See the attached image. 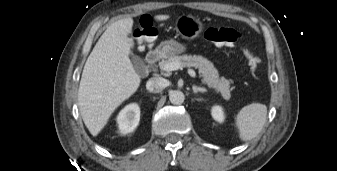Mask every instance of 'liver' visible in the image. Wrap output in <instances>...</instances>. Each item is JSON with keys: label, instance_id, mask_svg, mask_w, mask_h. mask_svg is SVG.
Instances as JSON below:
<instances>
[{"label": "liver", "instance_id": "obj_1", "mask_svg": "<svg viewBox=\"0 0 337 171\" xmlns=\"http://www.w3.org/2000/svg\"><path fill=\"white\" fill-rule=\"evenodd\" d=\"M157 15L155 20H167ZM133 19L112 23L99 38L85 63L78 89L82 119L93 136L107 124L114 110L138 89L141 78L129 58L134 42Z\"/></svg>", "mask_w": 337, "mask_h": 171}]
</instances>
